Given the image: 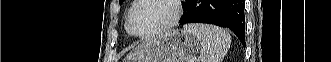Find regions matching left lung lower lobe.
<instances>
[{"mask_svg": "<svg viewBox=\"0 0 331 62\" xmlns=\"http://www.w3.org/2000/svg\"><path fill=\"white\" fill-rule=\"evenodd\" d=\"M180 24L208 23L232 30L245 46V15L242 0H187Z\"/></svg>", "mask_w": 331, "mask_h": 62, "instance_id": "obj_1", "label": "left lung lower lobe"}]
</instances>
